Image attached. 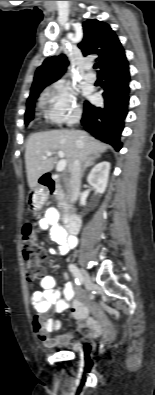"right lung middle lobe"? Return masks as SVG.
<instances>
[{
    "mask_svg": "<svg viewBox=\"0 0 155 395\" xmlns=\"http://www.w3.org/2000/svg\"><path fill=\"white\" fill-rule=\"evenodd\" d=\"M42 90H40L39 92H37L36 94H34L33 96H31L28 101H27V110L25 113V123L28 124L32 119H33V113H34V103L35 100L37 98V96L39 95V93Z\"/></svg>",
    "mask_w": 155,
    "mask_h": 395,
    "instance_id": "1",
    "label": "right lung middle lobe"
}]
</instances>
